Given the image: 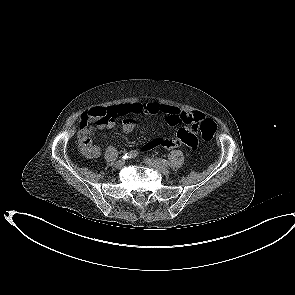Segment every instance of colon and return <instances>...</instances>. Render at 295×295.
Returning <instances> with one entry per match:
<instances>
[{
  "label": "colon",
  "mask_w": 295,
  "mask_h": 295,
  "mask_svg": "<svg viewBox=\"0 0 295 295\" xmlns=\"http://www.w3.org/2000/svg\"><path fill=\"white\" fill-rule=\"evenodd\" d=\"M108 118V110L103 107H97L88 112H85L80 119L81 130L78 135V141L82 149H86L89 145V135L92 127L99 122L105 121ZM195 128L200 131V134L205 141H211L217 130V125L212 119H202L195 123ZM155 146V143H152Z\"/></svg>",
  "instance_id": "obj_1"
}]
</instances>
